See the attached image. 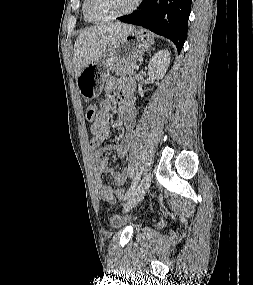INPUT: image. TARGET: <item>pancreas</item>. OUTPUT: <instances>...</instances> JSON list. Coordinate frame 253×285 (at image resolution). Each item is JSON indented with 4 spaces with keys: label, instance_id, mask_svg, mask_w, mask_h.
<instances>
[{
    "label": "pancreas",
    "instance_id": "obj_1",
    "mask_svg": "<svg viewBox=\"0 0 253 285\" xmlns=\"http://www.w3.org/2000/svg\"><path fill=\"white\" fill-rule=\"evenodd\" d=\"M134 65H136V61L115 66L112 68V73H115L117 76L133 75L135 73L133 69Z\"/></svg>",
    "mask_w": 253,
    "mask_h": 285
}]
</instances>
